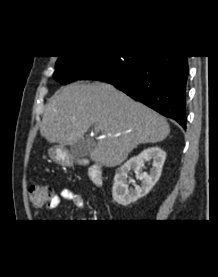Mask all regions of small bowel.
Masks as SVG:
<instances>
[{
    "label": "small bowel",
    "instance_id": "c3829d8e",
    "mask_svg": "<svg viewBox=\"0 0 218 277\" xmlns=\"http://www.w3.org/2000/svg\"><path fill=\"white\" fill-rule=\"evenodd\" d=\"M63 200L72 202L79 209L85 207V200L80 193L65 188L62 189L59 194L53 196L48 204V210L56 209Z\"/></svg>",
    "mask_w": 218,
    "mask_h": 277
}]
</instances>
